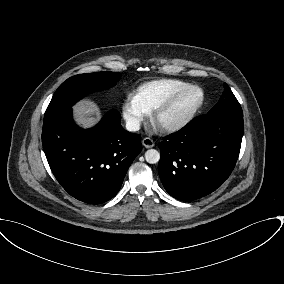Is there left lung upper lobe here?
Returning <instances> with one entry per match:
<instances>
[{
	"instance_id": "1",
	"label": "left lung upper lobe",
	"mask_w": 284,
	"mask_h": 284,
	"mask_svg": "<svg viewBox=\"0 0 284 284\" xmlns=\"http://www.w3.org/2000/svg\"><path fill=\"white\" fill-rule=\"evenodd\" d=\"M214 112H231L243 114L239 102L237 101L236 97L227 84L224 85V92L219 102L208 113Z\"/></svg>"
}]
</instances>
